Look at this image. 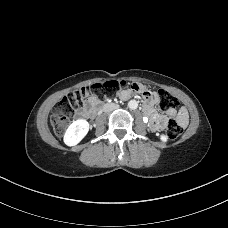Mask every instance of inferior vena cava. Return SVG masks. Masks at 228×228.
Listing matches in <instances>:
<instances>
[{"instance_id":"inferior-vena-cava-1","label":"inferior vena cava","mask_w":228,"mask_h":228,"mask_svg":"<svg viewBox=\"0 0 228 228\" xmlns=\"http://www.w3.org/2000/svg\"><path fill=\"white\" fill-rule=\"evenodd\" d=\"M119 107L118 104L115 103H110V104H105L103 107L104 112H111Z\"/></svg>"}]
</instances>
